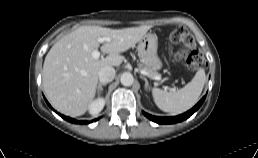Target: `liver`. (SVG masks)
Instances as JSON below:
<instances>
[{
    "label": "liver",
    "mask_w": 258,
    "mask_h": 158,
    "mask_svg": "<svg viewBox=\"0 0 258 158\" xmlns=\"http://www.w3.org/2000/svg\"><path fill=\"white\" fill-rule=\"evenodd\" d=\"M149 29L81 26L62 37L49 50L43 65V87L51 105L68 116L84 114L95 98L99 70L119 67L124 61L120 53L133 47ZM100 37L105 38L101 51L108 56L95 59L92 52L99 48Z\"/></svg>",
    "instance_id": "liver-1"
}]
</instances>
